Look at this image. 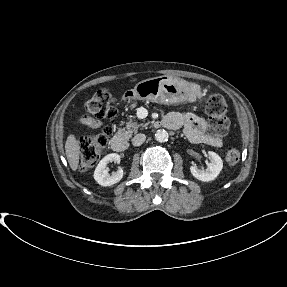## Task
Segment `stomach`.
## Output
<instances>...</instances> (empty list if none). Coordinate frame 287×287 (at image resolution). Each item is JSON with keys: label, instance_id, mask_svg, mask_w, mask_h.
<instances>
[{"label": "stomach", "instance_id": "1", "mask_svg": "<svg viewBox=\"0 0 287 287\" xmlns=\"http://www.w3.org/2000/svg\"><path fill=\"white\" fill-rule=\"evenodd\" d=\"M196 96V92L184 81L172 76L149 78L137 83L132 90L124 93L125 101H152L171 105L189 101Z\"/></svg>", "mask_w": 287, "mask_h": 287}]
</instances>
